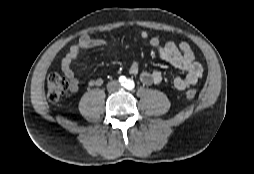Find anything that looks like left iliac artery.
<instances>
[{"label":"left iliac artery","mask_w":254,"mask_h":174,"mask_svg":"<svg viewBox=\"0 0 254 174\" xmlns=\"http://www.w3.org/2000/svg\"><path fill=\"white\" fill-rule=\"evenodd\" d=\"M134 86H135V84H134L133 80H130V79L127 80V82H126V88H127L128 90L133 89Z\"/></svg>","instance_id":"obj_1"}]
</instances>
